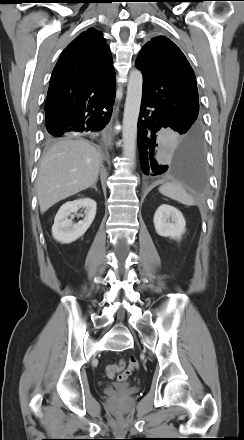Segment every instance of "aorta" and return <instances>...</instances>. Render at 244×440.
Masks as SVG:
<instances>
[{"label":"aorta","mask_w":244,"mask_h":440,"mask_svg":"<svg viewBox=\"0 0 244 440\" xmlns=\"http://www.w3.org/2000/svg\"><path fill=\"white\" fill-rule=\"evenodd\" d=\"M142 85V73L139 70H132L129 74L122 130L124 154L132 167L135 165L136 157L137 123L142 99Z\"/></svg>","instance_id":"1"}]
</instances>
